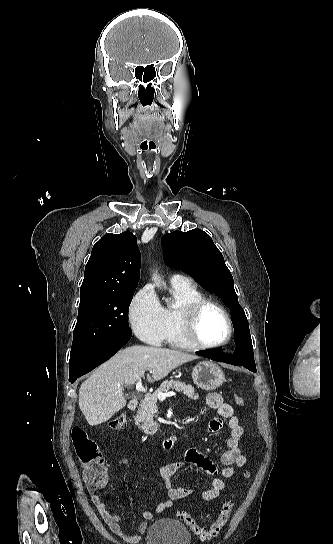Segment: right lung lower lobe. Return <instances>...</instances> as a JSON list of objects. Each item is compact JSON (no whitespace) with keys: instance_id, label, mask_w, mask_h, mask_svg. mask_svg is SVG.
<instances>
[{"instance_id":"98d812e1","label":"right lung lower lobe","mask_w":333,"mask_h":544,"mask_svg":"<svg viewBox=\"0 0 333 544\" xmlns=\"http://www.w3.org/2000/svg\"><path fill=\"white\" fill-rule=\"evenodd\" d=\"M132 333H121L99 344L80 361L70 365L69 381L75 382L80 376L90 372L121 349L131 338Z\"/></svg>"}]
</instances>
